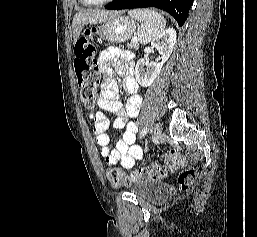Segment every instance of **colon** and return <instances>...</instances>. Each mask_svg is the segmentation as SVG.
<instances>
[{
    "label": "colon",
    "instance_id": "obj_1",
    "mask_svg": "<svg viewBox=\"0 0 257 237\" xmlns=\"http://www.w3.org/2000/svg\"><path fill=\"white\" fill-rule=\"evenodd\" d=\"M91 37L92 31L86 30L76 41L73 60L81 98L90 108L94 106L100 80L99 66L95 58L96 50L91 44ZM165 160L166 165L157 164L151 167H142L130 174H126L116 167H108L106 177L114 187L127 186L131 182L161 179L168 170H176L186 163L185 158L178 153L167 154ZM195 178V169H184L178 175V183L183 190H186L192 185Z\"/></svg>",
    "mask_w": 257,
    "mask_h": 237
}]
</instances>
